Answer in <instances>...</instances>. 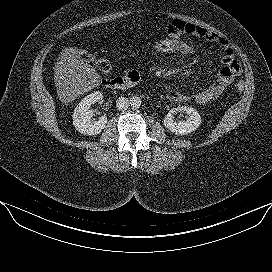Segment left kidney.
Listing matches in <instances>:
<instances>
[{"label":"left kidney","instance_id":"obj_1","mask_svg":"<svg viewBox=\"0 0 272 272\" xmlns=\"http://www.w3.org/2000/svg\"><path fill=\"white\" fill-rule=\"evenodd\" d=\"M185 111L188 115L186 121H176L174 115L177 112ZM164 126L172 133L177 135H186L195 131L201 124V116L198 111L192 107H177L171 109L163 120Z\"/></svg>","mask_w":272,"mask_h":272}]
</instances>
